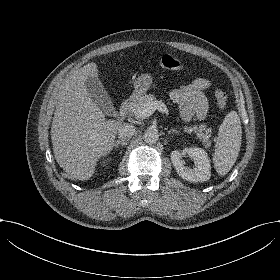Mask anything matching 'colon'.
Segmentation results:
<instances>
[{
	"label": "colon",
	"instance_id": "5ec220e1",
	"mask_svg": "<svg viewBox=\"0 0 280 280\" xmlns=\"http://www.w3.org/2000/svg\"><path fill=\"white\" fill-rule=\"evenodd\" d=\"M161 62L166 67H169L173 64V70L181 75L186 74L189 70V66L186 62L180 60L174 62L173 57L169 54L164 55L161 59ZM213 95L217 105L220 108H225L227 105V94L222 90H215Z\"/></svg>",
	"mask_w": 280,
	"mask_h": 280
}]
</instances>
